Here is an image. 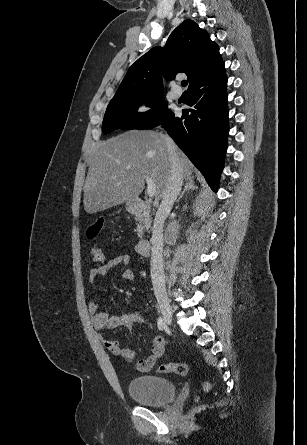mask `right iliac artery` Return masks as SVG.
<instances>
[{"mask_svg":"<svg viewBox=\"0 0 307 445\" xmlns=\"http://www.w3.org/2000/svg\"><path fill=\"white\" fill-rule=\"evenodd\" d=\"M158 329L163 330L165 328V322L163 318L159 317L157 321Z\"/></svg>","mask_w":307,"mask_h":445,"instance_id":"1","label":"right iliac artery"}]
</instances>
